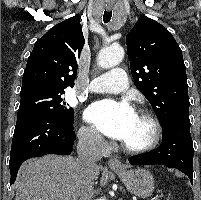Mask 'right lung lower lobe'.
<instances>
[{
	"instance_id": "98d812e1",
	"label": "right lung lower lobe",
	"mask_w": 201,
	"mask_h": 200,
	"mask_svg": "<svg viewBox=\"0 0 201 200\" xmlns=\"http://www.w3.org/2000/svg\"><path fill=\"white\" fill-rule=\"evenodd\" d=\"M72 122L49 114H31L17 118L10 152V185L16 180L21 164L46 154L69 155L75 132Z\"/></svg>"
}]
</instances>
